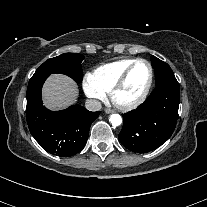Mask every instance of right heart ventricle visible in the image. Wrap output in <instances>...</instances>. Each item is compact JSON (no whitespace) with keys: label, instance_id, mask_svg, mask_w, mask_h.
<instances>
[{"label":"right heart ventricle","instance_id":"e07e8e85","mask_svg":"<svg viewBox=\"0 0 207 207\" xmlns=\"http://www.w3.org/2000/svg\"><path fill=\"white\" fill-rule=\"evenodd\" d=\"M134 60L126 58L101 65L93 71L91 77L104 92H109L118 78Z\"/></svg>","mask_w":207,"mask_h":207}]
</instances>
